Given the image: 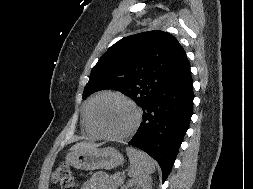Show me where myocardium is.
Masks as SVG:
<instances>
[{"mask_svg":"<svg viewBox=\"0 0 253 189\" xmlns=\"http://www.w3.org/2000/svg\"><path fill=\"white\" fill-rule=\"evenodd\" d=\"M105 97H116V98L124 101L125 103H127L134 111V115H135L134 122H133L131 128L127 132H125L124 134H121V135L109 134V133L105 132L103 129H101L100 126L98 125V123L95 119L94 111H95L96 104L99 102V100H101L102 98H105ZM89 121H90L92 128L95 130V132L99 136H101L102 138H105L108 140H113V141H121V140H126V139L130 138L131 136H133L136 133V131L140 127V124L142 121V111L138 107V105L131 98L127 97L126 95L119 93V92L107 91V92H103V93L98 94L92 100V103L89 108Z\"/></svg>","mask_w":253,"mask_h":189,"instance_id":"myocardium-1","label":"myocardium"}]
</instances>
